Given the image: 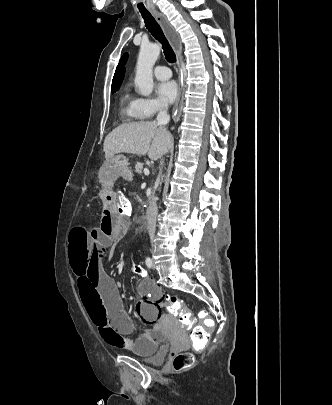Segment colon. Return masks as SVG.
<instances>
[{
	"instance_id": "5ec220e1",
	"label": "colon",
	"mask_w": 332,
	"mask_h": 405,
	"mask_svg": "<svg viewBox=\"0 0 332 405\" xmlns=\"http://www.w3.org/2000/svg\"><path fill=\"white\" fill-rule=\"evenodd\" d=\"M117 199V203L115 204V213L120 216H131V201L122 192H117ZM131 270L135 274L139 273L141 278H145L147 276V273L144 271V267L141 266L139 262H134ZM164 302L167 310L171 314L177 316L185 328L193 327L194 322L191 317V312L178 297L174 295H166L164 296ZM197 321L200 325L193 328L190 337L193 344L196 347L201 348L208 341L214 318L213 315H205L204 312H201L200 315H198ZM172 357L173 368L177 371L189 367L193 362L192 356L187 352H175L172 354Z\"/></svg>"
}]
</instances>
